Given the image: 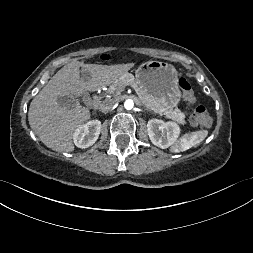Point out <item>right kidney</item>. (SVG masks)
Listing matches in <instances>:
<instances>
[{
    "label": "right kidney",
    "instance_id": "1",
    "mask_svg": "<svg viewBox=\"0 0 253 253\" xmlns=\"http://www.w3.org/2000/svg\"><path fill=\"white\" fill-rule=\"evenodd\" d=\"M101 131V122L91 120L76 129L73 135L74 143L81 149L92 146L98 139Z\"/></svg>",
    "mask_w": 253,
    "mask_h": 253
}]
</instances>
